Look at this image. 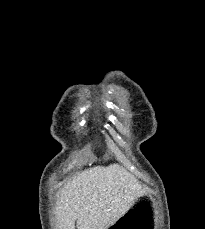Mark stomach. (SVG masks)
Here are the masks:
<instances>
[{"label":"stomach","instance_id":"obj_1","mask_svg":"<svg viewBox=\"0 0 205 229\" xmlns=\"http://www.w3.org/2000/svg\"><path fill=\"white\" fill-rule=\"evenodd\" d=\"M156 213L151 202L144 200L128 210L109 229H155Z\"/></svg>","mask_w":205,"mask_h":229}]
</instances>
